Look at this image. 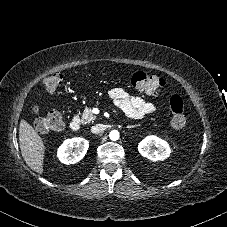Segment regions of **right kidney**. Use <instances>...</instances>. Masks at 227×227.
<instances>
[{"label": "right kidney", "mask_w": 227, "mask_h": 227, "mask_svg": "<svg viewBox=\"0 0 227 227\" xmlns=\"http://www.w3.org/2000/svg\"><path fill=\"white\" fill-rule=\"evenodd\" d=\"M88 147L89 142L84 138L67 139L58 148L57 156L64 164H75L85 156Z\"/></svg>", "instance_id": "obj_1"}]
</instances>
